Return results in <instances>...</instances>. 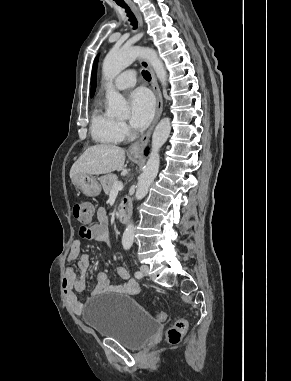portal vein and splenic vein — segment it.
<instances>
[{"mask_svg":"<svg viewBox=\"0 0 291 381\" xmlns=\"http://www.w3.org/2000/svg\"><path fill=\"white\" fill-rule=\"evenodd\" d=\"M122 189H123V183H122V181L116 182L113 185V187H112L111 193L118 192V191H120Z\"/></svg>","mask_w":291,"mask_h":381,"instance_id":"1","label":"portal vein and splenic vein"}]
</instances>
